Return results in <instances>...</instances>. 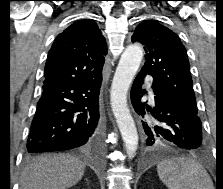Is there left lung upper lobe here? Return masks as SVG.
I'll return each instance as SVG.
<instances>
[{
	"mask_svg": "<svg viewBox=\"0 0 223 189\" xmlns=\"http://www.w3.org/2000/svg\"><path fill=\"white\" fill-rule=\"evenodd\" d=\"M132 42L144 46L146 70L158 82L167 97L178 106L197 114L186 49L177 34L153 20L140 23ZM159 142L151 148L161 147Z\"/></svg>",
	"mask_w": 223,
	"mask_h": 189,
	"instance_id": "1",
	"label": "left lung upper lobe"
}]
</instances>
